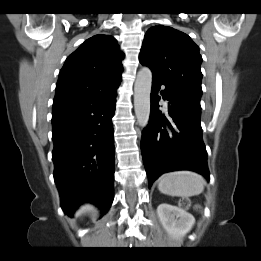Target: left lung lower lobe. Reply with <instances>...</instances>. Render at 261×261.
Here are the masks:
<instances>
[{
  "label": "left lung lower lobe",
  "instance_id": "0a47b994",
  "mask_svg": "<svg viewBox=\"0 0 261 261\" xmlns=\"http://www.w3.org/2000/svg\"><path fill=\"white\" fill-rule=\"evenodd\" d=\"M161 85V95L169 101L166 113L158 105ZM200 118V98L153 78L150 119L141 141L149 188L161 174L175 170L196 171L209 179Z\"/></svg>",
  "mask_w": 261,
  "mask_h": 261
}]
</instances>
